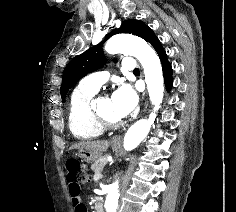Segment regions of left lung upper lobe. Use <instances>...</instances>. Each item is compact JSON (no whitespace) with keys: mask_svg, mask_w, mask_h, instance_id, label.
I'll list each match as a JSON object with an SVG mask.
<instances>
[{"mask_svg":"<svg viewBox=\"0 0 236 212\" xmlns=\"http://www.w3.org/2000/svg\"><path fill=\"white\" fill-rule=\"evenodd\" d=\"M151 30L149 26L140 20H125L122 22L120 28L110 32L103 42L74 57L63 72L61 85L62 101H64L68 90L78 80L104 65L106 58L101 45L108 40V38L118 33H130L145 40Z\"/></svg>","mask_w":236,"mask_h":212,"instance_id":"5c2ea615","label":"left lung upper lobe"}]
</instances>
